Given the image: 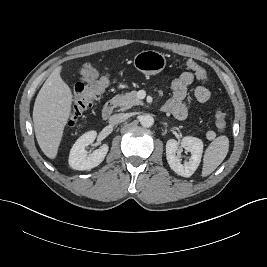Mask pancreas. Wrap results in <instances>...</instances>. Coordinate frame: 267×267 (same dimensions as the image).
Segmentation results:
<instances>
[{"instance_id":"cf45deb5","label":"pancreas","mask_w":267,"mask_h":267,"mask_svg":"<svg viewBox=\"0 0 267 267\" xmlns=\"http://www.w3.org/2000/svg\"><path fill=\"white\" fill-rule=\"evenodd\" d=\"M116 106H119L122 111L131 108L133 105H140L142 101L137 98L136 91H131L126 94L116 95L112 99Z\"/></svg>"}]
</instances>
